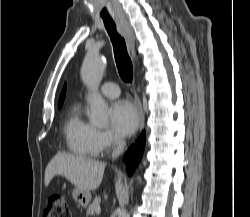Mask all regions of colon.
Wrapping results in <instances>:
<instances>
[{
    "label": "colon",
    "mask_w": 250,
    "mask_h": 217,
    "mask_svg": "<svg viewBox=\"0 0 250 217\" xmlns=\"http://www.w3.org/2000/svg\"><path fill=\"white\" fill-rule=\"evenodd\" d=\"M43 217H70L67 201L60 194H53L49 197Z\"/></svg>",
    "instance_id": "colon-1"
}]
</instances>
